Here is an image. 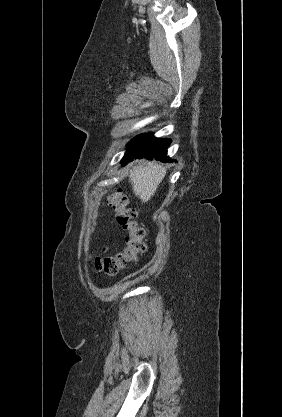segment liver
I'll list each match as a JSON object with an SVG mask.
<instances>
[{
  "label": "liver",
  "instance_id": "liver-1",
  "mask_svg": "<svg viewBox=\"0 0 282 417\" xmlns=\"http://www.w3.org/2000/svg\"><path fill=\"white\" fill-rule=\"evenodd\" d=\"M165 174L166 168L160 162H148L145 166L143 164L134 166V170H130L129 174L133 192L141 198L142 202H147L156 192Z\"/></svg>",
  "mask_w": 282,
  "mask_h": 417
}]
</instances>
